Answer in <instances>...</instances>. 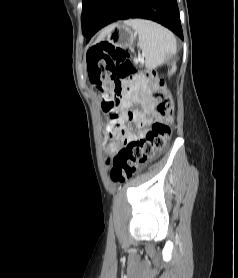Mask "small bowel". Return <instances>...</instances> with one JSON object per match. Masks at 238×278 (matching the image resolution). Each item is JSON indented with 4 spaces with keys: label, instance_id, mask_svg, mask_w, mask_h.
Returning <instances> with one entry per match:
<instances>
[{
    "label": "small bowel",
    "instance_id": "small-bowel-1",
    "mask_svg": "<svg viewBox=\"0 0 238 278\" xmlns=\"http://www.w3.org/2000/svg\"><path fill=\"white\" fill-rule=\"evenodd\" d=\"M133 104L138 105L140 109H132ZM119 107L118 127L110 134L111 142L108 146V152L114 149V154L121 150L124 144L142 138L145 127L151 121L148 116L152 115V101L148 98L144 82L140 77L124 84ZM127 122L134 123L140 129L138 135L133 133Z\"/></svg>",
    "mask_w": 238,
    "mask_h": 278
}]
</instances>
